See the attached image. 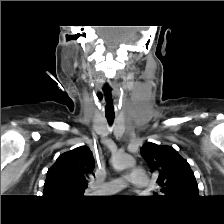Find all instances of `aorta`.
I'll return each instance as SVG.
<instances>
[{"label": "aorta", "instance_id": "obj_1", "mask_svg": "<svg viewBox=\"0 0 224 224\" xmlns=\"http://www.w3.org/2000/svg\"><path fill=\"white\" fill-rule=\"evenodd\" d=\"M112 165L116 170L122 171L126 168L134 167L135 159L128 154H117L112 158Z\"/></svg>", "mask_w": 224, "mask_h": 224}]
</instances>
